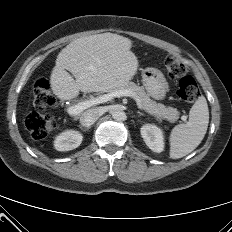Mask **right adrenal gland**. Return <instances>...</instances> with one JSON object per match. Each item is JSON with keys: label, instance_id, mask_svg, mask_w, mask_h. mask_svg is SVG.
Returning a JSON list of instances; mask_svg holds the SVG:
<instances>
[{"label": "right adrenal gland", "instance_id": "2a0ac1e0", "mask_svg": "<svg viewBox=\"0 0 232 232\" xmlns=\"http://www.w3.org/2000/svg\"><path fill=\"white\" fill-rule=\"evenodd\" d=\"M79 128L83 131V132H86L90 129V127H83V126H80L79 125Z\"/></svg>", "mask_w": 232, "mask_h": 232}]
</instances>
